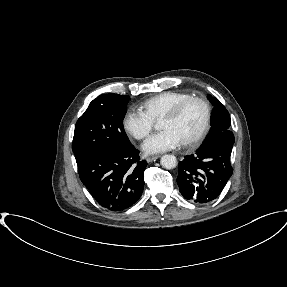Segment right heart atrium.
Returning <instances> with one entry per match:
<instances>
[{"label": "right heart atrium", "mask_w": 287, "mask_h": 287, "mask_svg": "<svg viewBox=\"0 0 287 287\" xmlns=\"http://www.w3.org/2000/svg\"><path fill=\"white\" fill-rule=\"evenodd\" d=\"M125 131L138 140L146 138L153 129L154 120L141 109H129L124 118Z\"/></svg>", "instance_id": "right-heart-atrium-1"}]
</instances>
